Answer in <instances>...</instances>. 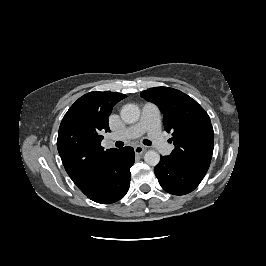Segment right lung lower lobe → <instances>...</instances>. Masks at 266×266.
Returning a JSON list of instances; mask_svg holds the SVG:
<instances>
[{
  "mask_svg": "<svg viewBox=\"0 0 266 266\" xmlns=\"http://www.w3.org/2000/svg\"><path fill=\"white\" fill-rule=\"evenodd\" d=\"M132 147L118 149L111 158L98 187L86 195L89 199L110 204L122 199L130 186V167L135 161Z\"/></svg>",
  "mask_w": 266,
  "mask_h": 266,
  "instance_id": "obj_1",
  "label": "right lung lower lobe"
}]
</instances>
